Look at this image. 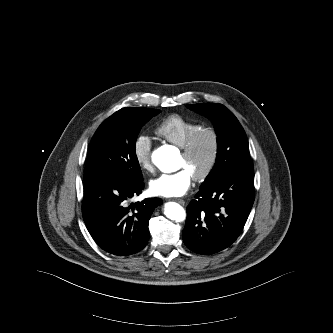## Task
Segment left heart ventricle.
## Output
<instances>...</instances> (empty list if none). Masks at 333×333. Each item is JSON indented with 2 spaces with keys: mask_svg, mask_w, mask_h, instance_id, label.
Segmentation results:
<instances>
[{
  "mask_svg": "<svg viewBox=\"0 0 333 333\" xmlns=\"http://www.w3.org/2000/svg\"><path fill=\"white\" fill-rule=\"evenodd\" d=\"M210 147V138L206 135L201 137L190 157H184L181 154L179 168H185L192 176L199 173L204 168L208 160Z\"/></svg>",
  "mask_w": 333,
  "mask_h": 333,
  "instance_id": "left-heart-ventricle-1",
  "label": "left heart ventricle"
}]
</instances>
